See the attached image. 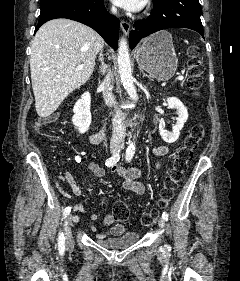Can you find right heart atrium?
<instances>
[{"label": "right heart atrium", "instance_id": "1", "mask_svg": "<svg viewBox=\"0 0 240 281\" xmlns=\"http://www.w3.org/2000/svg\"><path fill=\"white\" fill-rule=\"evenodd\" d=\"M110 12L114 13L115 12L114 8H110Z\"/></svg>", "mask_w": 240, "mask_h": 281}]
</instances>
